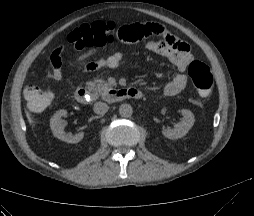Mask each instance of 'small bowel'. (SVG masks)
Instances as JSON below:
<instances>
[{
	"mask_svg": "<svg viewBox=\"0 0 254 216\" xmlns=\"http://www.w3.org/2000/svg\"><path fill=\"white\" fill-rule=\"evenodd\" d=\"M116 36L120 41L126 43L143 40L149 51L165 55L170 59L175 65L177 73H175L172 80L164 87V94L166 96H175L185 89L187 77L184 72L192 60L190 47L185 41L154 22L131 25L121 24L116 29ZM91 56L92 50L82 52L75 58L74 64L82 65L83 72L88 73L102 67L114 69L126 59V55L122 52H115L95 61H89ZM50 63L51 77L55 81H61L63 73L60 49L57 48L52 52ZM157 76H161V74L158 73Z\"/></svg>",
	"mask_w": 254,
	"mask_h": 216,
	"instance_id": "small-bowel-1",
	"label": "small bowel"
}]
</instances>
